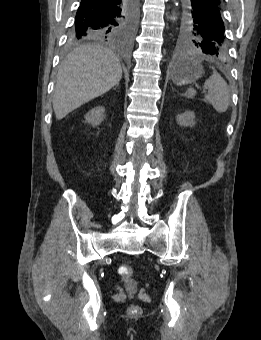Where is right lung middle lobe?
Segmentation results:
<instances>
[{"instance_id": "obj_1", "label": "right lung middle lobe", "mask_w": 261, "mask_h": 340, "mask_svg": "<svg viewBox=\"0 0 261 340\" xmlns=\"http://www.w3.org/2000/svg\"><path fill=\"white\" fill-rule=\"evenodd\" d=\"M138 15L137 0H128L117 16L98 19L94 25L81 30L72 28L70 45L83 41H127L134 32Z\"/></svg>"}]
</instances>
